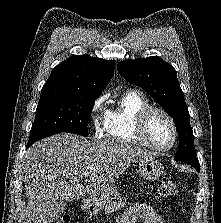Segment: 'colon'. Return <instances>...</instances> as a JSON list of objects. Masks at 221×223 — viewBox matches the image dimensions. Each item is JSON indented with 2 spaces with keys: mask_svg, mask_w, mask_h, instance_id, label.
<instances>
[{
  "mask_svg": "<svg viewBox=\"0 0 221 223\" xmlns=\"http://www.w3.org/2000/svg\"><path fill=\"white\" fill-rule=\"evenodd\" d=\"M158 192L163 198H173L178 195V187L170 179L163 178L160 182ZM55 223H70V220L67 216H62L57 219Z\"/></svg>",
  "mask_w": 221,
  "mask_h": 223,
  "instance_id": "obj_1",
  "label": "colon"
}]
</instances>
